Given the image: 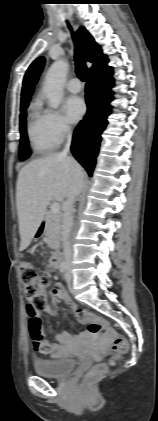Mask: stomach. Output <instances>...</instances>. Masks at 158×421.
<instances>
[{
  "label": "stomach",
  "instance_id": "0dacf381",
  "mask_svg": "<svg viewBox=\"0 0 158 421\" xmlns=\"http://www.w3.org/2000/svg\"><path fill=\"white\" fill-rule=\"evenodd\" d=\"M42 230H43V228H42V226H41V224H40V226H39V228H38V230L36 231V233H35V237H39L40 236V234H41V232H42Z\"/></svg>",
  "mask_w": 158,
  "mask_h": 421
}]
</instances>
